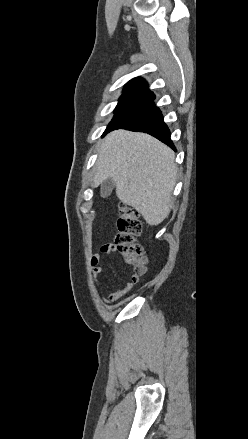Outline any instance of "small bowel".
Listing matches in <instances>:
<instances>
[{
    "mask_svg": "<svg viewBox=\"0 0 248 439\" xmlns=\"http://www.w3.org/2000/svg\"><path fill=\"white\" fill-rule=\"evenodd\" d=\"M115 250L116 249H115V246L113 244H106V245H103L101 247V250L99 253L93 254L91 256L90 265L92 268V277H93L94 285H95L97 290H99V288H100L99 282H98V276L103 272V268L100 266V261L105 255L110 254L112 252H115ZM138 281H139V278L132 275L131 279L124 286H122L116 290H113V291L109 290L107 292L106 296L101 294V298L106 303L116 302L117 300L124 297L131 290V288L135 284H137Z\"/></svg>",
    "mask_w": 248,
    "mask_h": 439,
    "instance_id": "1",
    "label": "small bowel"
}]
</instances>
